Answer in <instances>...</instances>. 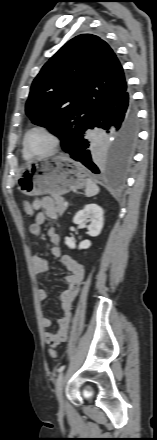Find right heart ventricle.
<instances>
[{
    "instance_id": "1",
    "label": "right heart ventricle",
    "mask_w": 157,
    "mask_h": 440,
    "mask_svg": "<svg viewBox=\"0 0 157 440\" xmlns=\"http://www.w3.org/2000/svg\"><path fill=\"white\" fill-rule=\"evenodd\" d=\"M23 155L25 158H29V156L24 152V150H23Z\"/></svg>"
}]
</instances>
